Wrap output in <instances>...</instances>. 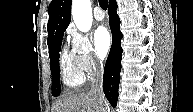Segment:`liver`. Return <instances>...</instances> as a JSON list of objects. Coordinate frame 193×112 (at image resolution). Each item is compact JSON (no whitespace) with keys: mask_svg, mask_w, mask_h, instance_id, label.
<instances>
[{"mask_svg":"<svg viewBox=\"0 0 193 112\" xmlns=\"http://www.w3.org/2000/svg\"><path fill=\"white\" fill-rule=\"evenodd\" d=\"M108 110L106 100L95 94H79L56 101L52 112H104Z\"/></svg>","mask_w":193,"mask_h":112,"instance_id":"liver-1","label":"liver"}]
</instances>
